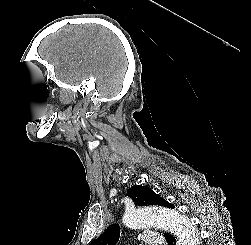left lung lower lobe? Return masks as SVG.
Wrapping results in <instances>:
<instances>
[{
    "mask_svg": "<svg viewBox=\"0 0 251 245\" xmlns=\"http://www.w3.org/2000/svg\"><path fill=\"white\" fill-rule=\"evenodd\" d=\"M165 239L167 240L168 245H175V237L169 233H166Z\"/></svg>",
    "mask_w": 251,
    "mask_h": 245,
    "instance_id": "left-lung-lower-lobe-1",
    "label": "left lung lower lobe"
}]
</instances>
